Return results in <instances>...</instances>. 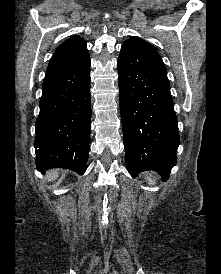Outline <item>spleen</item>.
Segmentation results:
<instances>
[{
	"mask_svg": "<svg viewBox=\"0 0 221 274\" xmlns=\"http://www.w3.org/2000/svg\"><path fill=\"white\" fill-rule=\"evenodd\" d=\"M148 180H149V184H150V185H151V184H152V185L154 184V181H153L152 179L149 178Z\"/></svg>",
	"mask_w": 221,
	"mask_h": 274,
	"instance_id": "obj_1",
	"label": "spleen"
}]
</instances>
